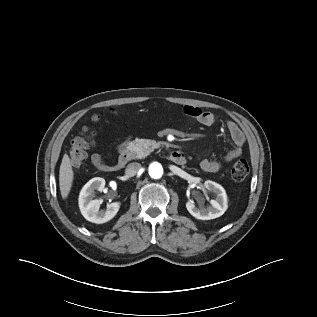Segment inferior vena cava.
<instances>
[{"instance_id": "602c4592", "label": "inferior vena cava", "mask_w": 317, "mask_h": 317, "mask_svg": "<svg viewBox=\"0 0 317 317\" xmlns=\"http://www.w3.org/2000/svg\"><path fill=\"white\" fill-rule=\"evenodd\" d=\"M140 169H141V164L137 162H133L127 165L125 169V173L129 177H133L138 173Z\"/></svg>"}]
</instances>
